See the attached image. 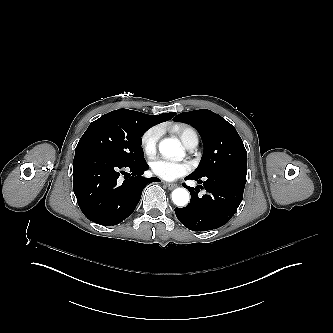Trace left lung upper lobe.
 I'll return each mask as SVG.
<instances>
[{"instance_id": "left-lung-upper-lobe-1", "label": "left lung upper lobe", "mask_w": 333, "mask_h": 333, "mask_svg": "<svg viewBox=\"0 0 333 333\" xmlns=\"http://www.w3.org/2000/svg\"><path fill=\"white\" fill-rule=\"evenodd\" d=\"M173 121L191 124L202 137L204 153L197 169L191 174L207 179L231 168L247 170V152L236 129L220 115L200 109L181 113Z\"/></svg>"}]
</instances>
